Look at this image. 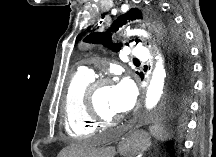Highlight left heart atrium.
Listing matches in <instances>:
<instances>
[{
	"mask_svg": "<svg viewBox=\"0 0 216 157\" xmlns=\"http://www.w3.org/2000/svg\"><path fill=\"white\" fill-rule=\"evenodd\" d=\"M135 102V89L126 79H121L112 86V104L116 111L124 113L132 108Z\"/></svg>",
	"mask_w": 216,
	"mask_h": 157,
	"instance_id": "39dd6f15",
	"label": "left heart atrium"
}]
</instances>
